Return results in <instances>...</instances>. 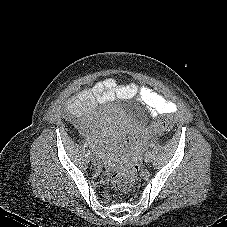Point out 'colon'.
<instances>
[{
    "mask_svg": "<svg viewBox=\"0 0 227 227\" xmlns=\"http://www.w3.org/2000/svg\"><path fill=\"white\" fill-rule=\"evenodd\" d=\"M175 122V117L171 114L164 115L157 123L159 131H168L172 128ZM138 164L131 161L124 165L121 169L114 171L111 174V185L118 192H127L138 175Z\"/></svg>",
    "mask_w": 227,
    "mask_h": 227,
    "instance_id": "5ec220e1",
    "label": "colon"
}]
</instances>
